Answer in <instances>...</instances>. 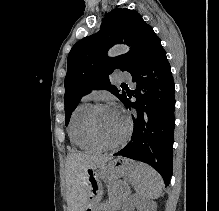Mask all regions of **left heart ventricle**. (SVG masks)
Listing matches in <instances>:
<instances>
[{
  "instance_id": "obj_1",
  "label": "left heart ventricle",
  "mask_w": 219,
  "mask_h": 211,
  "mask_svg": "<svg viewBox=\"0 0 219 211\" xmlns=\"http://www.w3.org/2000/svg\"><path fill=\"white\" fill-rule=\"evenodd\" d=\"M98 134L107 142H117L125 132L126 121L117 116L111 108L100 109L95 116Z\"/></svg>"
}]
</instances>
